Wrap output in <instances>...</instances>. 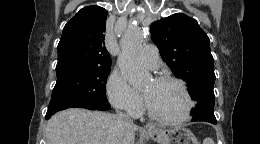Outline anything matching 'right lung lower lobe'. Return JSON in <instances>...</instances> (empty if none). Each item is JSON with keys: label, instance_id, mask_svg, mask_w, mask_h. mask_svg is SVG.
Instances as JSON below:
<instances>
[{"label": "right lung lower lobe", "instance_id": "98d812e1", "mask_svg": "<svg viewBox=\"0 0 260 144\" xmlns=\"http://www.w3.org/2000/svg\"><path fill=\"white\" fill-rule=\"evenodd\" d=\"M109 108H110V104H108V103H102V104H97V105H92V106L86 107V109H89V110H108ZM53 114H55V113L46 114L45 118L48 119Z\"/></svg>", "mask_w": 260, "mask_h": 144}]
</instances>
